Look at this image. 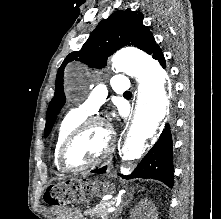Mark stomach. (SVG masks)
Masks as SVG:
<instances>
[{"label":"stomach","instance_id":"stomach-1","mask_svg":"<svg viewBox=\"0 0 221 219\" xmlns=\"http://www.w3.org/2000/svg\"><path fill=\"white\" fill-rule=\"evenodd\" d=\"M68 183H79L74 186L70 194H66V199H72V204H91V199L95 196L111 195L114 192V185L110 182H101V178H68Z\"/></svg>","mask_w":221,"mask_h":219}]
</instances>
